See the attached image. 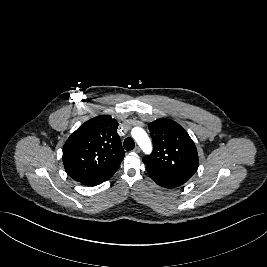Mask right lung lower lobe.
<instances>
[{
  "mask_svg": "<svg viewBox=\"0 0 267 267\" xmlns=\"http://www.w3.org/2000/svg\"><path fill=\"white\" fill-rule=\"evenodd\" d=\"M118 168H113V169L107 170L105 172H102L100 174H97L95 176L86 178V179L80 181V183H82L83 185H86V186L98 185V184L108 180L116 172V170Z\"/></svg>",
  "mask_w": 267,
  "mask_h": 267,
  "instance_id": "obj_1",
  "label": "right lung lower lobe"
}]
</instances>
